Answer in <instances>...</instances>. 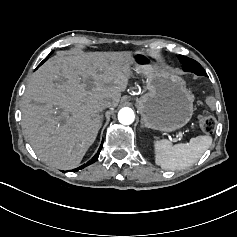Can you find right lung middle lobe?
<instances>
[{
    "mask_svg": "<svg viewBox=\"0 0 237 237\" xmlns=\"http://www.w3.org/2000/svg\"><path fill=\"white\" fill-rule=\"evenodd\" d=\"M51 54H52V52L50 53V55H51ZM47 58H48V57H47ZM47 58H46L42 63H44V62L47 60ZM42 63H41V64H42ZM41 64H40V65H41Z\"/></svg>",
    "mask_w": 237,
    "mask_h": 237,
    "instance_id": "obj_1",
    "label": "right lung middle lobe"
}]
</instances>
